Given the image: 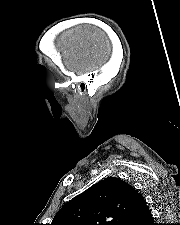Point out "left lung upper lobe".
Returning a JSON list of instances; mask_svg holds the SVG:
<instances>
[{
	"label": "left lung upper lobe",
	"mask_w": 180,
	"mask_h": 225,
	"mask_svg": "<svg viewBox=\"0 0 180 225\" xmlns=\"http://www.w3.org/2000/svg\"><path fill=\"white\" fill-rule=\"evenodd\" d=\"M146 207L144 197L131 185L110 177L69 201L50 225H126Z\"/></svg>",
	"instance_id": "1"
}]
</instances>
